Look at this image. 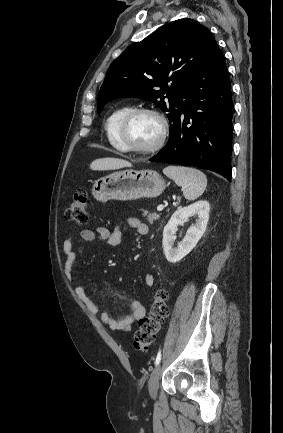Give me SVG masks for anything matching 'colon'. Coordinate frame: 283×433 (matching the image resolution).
<instances>
[{"instance_id": "5ec220e1", "label": "colon", "mask_w": 283, "mask_h": 433, "mask_svg": "<svg viewBox=\"0 0 283 433\" xmlns=\"http://www.w3.org/2000/svg\"><path fill=\"white\" fill-rule=\"evenodd\" d=\"M66 218L78 224H84L88 219V195L84 189H78L66 211ZM168 292L158 288L152 297L149 314L139 321V328L134 335L133 347L137 351H146L155 341L162 324L168 316Z\"/></svg>"}]
</instances>
